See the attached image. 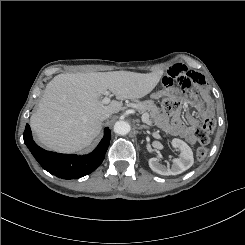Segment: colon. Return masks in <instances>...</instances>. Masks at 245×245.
Here are the masks:
<instances>
[{
  "mask_svg": "<svg viewBox=\"0 0 245 245\" xmlns=\"http://www.w3.org/2000/svg\"><path fill=\"white\" fill-rule=\"evenodd\" d=\"M178 100L169 95H165L161 99V107L168 113L174 112L178 108ZM215 129V121L212 118H206L202 124L196 129L195 137L200 144L196 151V158L199 162L203 161L207 156L206 145L210 141V136Z\"/></svg>",
  "mask_w": 245,
  "mask_h": 245,
  "instance_id": "obj_1",
  "label": "colon"
}]
</instances>
